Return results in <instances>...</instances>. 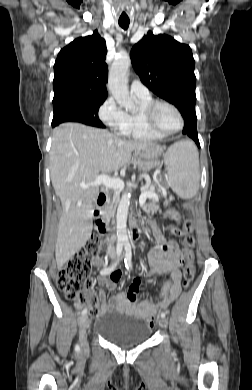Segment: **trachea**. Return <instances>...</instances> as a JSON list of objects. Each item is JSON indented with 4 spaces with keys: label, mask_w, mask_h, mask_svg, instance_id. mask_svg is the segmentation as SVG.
Here are the masks:
<instances>
[{
    "label": "trachea",
    "mask_w": 252,
    "mask_h": 390,
    "mask_svg": "<svg viewBox=\"0 0 252 390\" xmlns=\"http://www.w3.org/2000/svg\"><path fill=\"white\" fill-rule=\"evenodd\" d=\"M118 23L124 30H126L129 26L130 21L128 18H123L119 19Z\"/></svg>",
    "instance_id": "trachea-1"
}]
</instances>
